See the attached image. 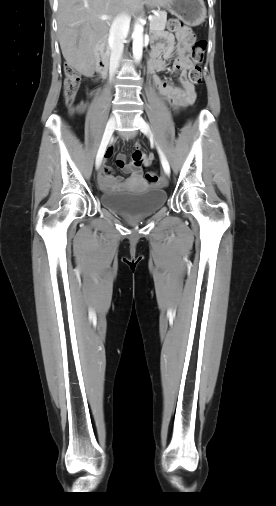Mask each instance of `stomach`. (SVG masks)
I'll list each match as a JSON object with an SVG mask.
<instances>
[{
	"label": "stomach",
	"mask_w": 276,
	"mask_h": 506,
	"mask_svg": "<svg viewBox=\"0 0 276 506\" xmlns=\"http://www.w3.org/2000/svg\"><path fill=\"white\" fill-rule=\"evenodd\" d=\"M167 10L191 26L201 24L206 18L203 0H170Z\"/></svg>",
	"instance_id": "obj_1"
}]
</instances>
